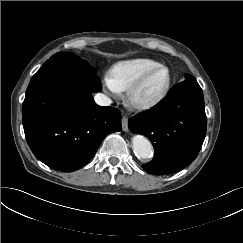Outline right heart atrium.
Instances as JSON below:
<instances>
[{"label":"right heart atrium","instance_id":"1","mask_svg":"<svg viewBox=\"0 0 243 243\" xmlns=\"http://www.w3.org/2000/svg\"><path fill=\"white\" fill-rule=\"evenodd\" d=\"M105 85H106V88L108 89V91L111 92L113 95L118 94V91L111 85L108 78L105 80Z\"/></svg>","mask_w":243,"mask_h":243}]
</instances>
